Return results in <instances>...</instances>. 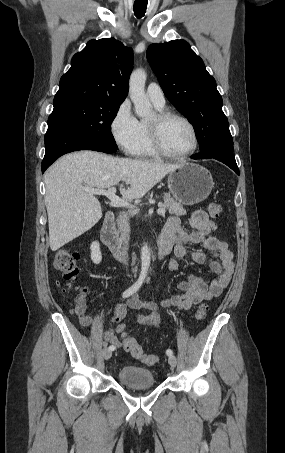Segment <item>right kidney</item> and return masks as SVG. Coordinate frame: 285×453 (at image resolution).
<instances>
[{
  "instance_id": "right-kidney-1",
  "label": "right kidney",
  "mask_w": 285,
  "mask_h": 453,
  "mask_svg": "<svg viewBox=\"0 0 285 453\" xmlns=\"http://www.w3.org/2000/svg\"><path fill=\"white\" fill-rule=\"evenodd\" d=\"M91 259L95 264H99L102 260V254L100 251V244L98 242H93L91 244Z\"/></svg>"
}]
</instances>
